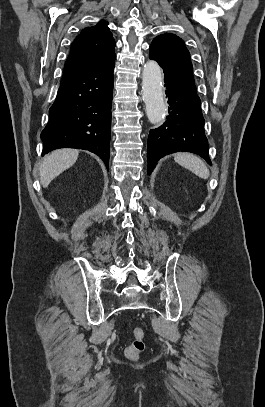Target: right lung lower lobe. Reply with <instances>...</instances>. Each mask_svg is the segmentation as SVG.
Segmentation results:
<instances>
[{
    "label": "right lung lower lobe",
    "instance_id": "1",
    "mask_svg": "<svg viewBox=\"0 0 265 407\" xmlns=\"http://www.w3.org/2000/svg\"><path fill=\"white\" fill-rule=\"evenodd\" d=\"M115 58L61 81L41 133L42 155L58 148L84 149L97 154L109 168Z\"/></svg>",
    "mask_w": 265,
    "mask_h": 407
}]
</instances>
